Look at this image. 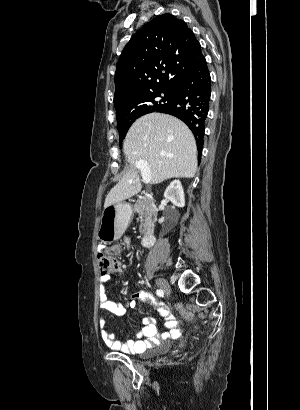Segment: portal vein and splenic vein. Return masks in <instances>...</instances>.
<instances>
[{"mask_svg":"<svg viewBox=\"0 0 300 410\" xmlns=\"http://www.w3.org/2000/svg\"><path fill=\"white\" fill-rule=\"evenodd\" d=\"M136 167L140 169L141 175H142V181L145 184H149L151 182V175H150V169L148 167L147 161H139L136 163Z\"/></svg>","mask_w":300,"mask_h":410,"instance_id":"1","label":"portal vein and splenic vein"}]
</instances>
